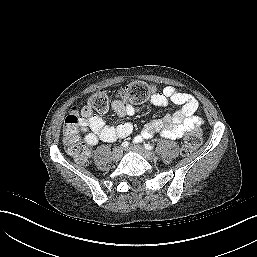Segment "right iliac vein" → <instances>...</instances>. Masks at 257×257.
<instances>
[{"instance_id": "63e3f726", "label": "right iliac vein", "mask_w": 257, "mask_h": 257, "mask_svg": "<svg viewBox=\"0 0 257 257\" xmlns=\"http://www.w3.org/2000/svg\"><path fill=\"white\" fill-rule=\"evenodd\" d=\"M121 157H122V149L120 147L114 148L112 152V159L114 161H119Z\"/></svg>"}]
</instances>
